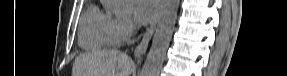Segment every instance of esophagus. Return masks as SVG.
<instances>
[{
  "instance_id": "esophagus-1",
  "label": "esophagus",
  "mask_w": 287,
  "mask_h": 76,
  "mask_svg": "<svg viewBox=\"0 0 287 76\" xmlns=\"http://www.w3.org/2000/svg\"><path fill=\"white\" fill-rule=\"evenodd\" d=\"M159 2V8L157 11L156 16L154 17L152 23L150 24L149 28L146 30V32L144 33V36L141 40V42L138 44V46L135 48L134 51V56L137 58H140L147 50L149 42L154 34L159 16H160V11H161V2L160 0Z\"/></svg>"
}]
</instances>
